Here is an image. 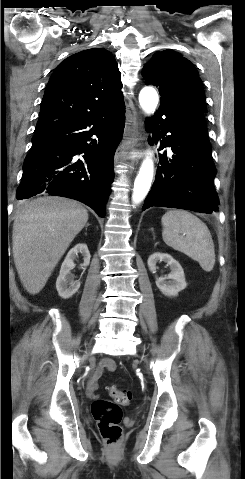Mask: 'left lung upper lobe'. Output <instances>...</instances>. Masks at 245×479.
Listing matches in <instances>:
<instances>
[{
	"instance_id": "5c2ea615",
	"label": "left lung upper lobe",
	"mask_w": 245,
	"mask_h": 479,
	"mask_svg": "<svg viewBox=\"0 0 245 479\" xmlns=\"http://www.w3.org/2000/svg\"><path fill=\"white\" fill-rule=\"evenodd\" d=\"M145 84L159 87L160 106L206 112L205 93L194 65L173 50L156 52L144 66Z\"/></svg>"
}]
</instances>
